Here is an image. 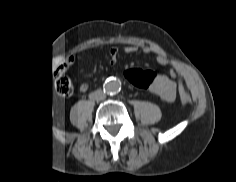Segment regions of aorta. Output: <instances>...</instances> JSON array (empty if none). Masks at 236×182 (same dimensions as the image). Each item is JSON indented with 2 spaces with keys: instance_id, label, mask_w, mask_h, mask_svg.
I'll use <instances>...</instances> for the list:
<instances>
[{
  "instance_id": "aorta-1",
  "label": "aorta",
  "mask_w": 236,
  "mask_h": 182,
  "mask_svg": "<svg viewBox=\"0 0 236 182\" xmlns=\"http://www.w3.org/2000/svg\"><path fill=\"white\" fill-rule=\"evenodd\" d=\"M107 91L116 92L119 90L120 85L117 81H110L105 85Z\"/></svg>"
}]
</instances>
